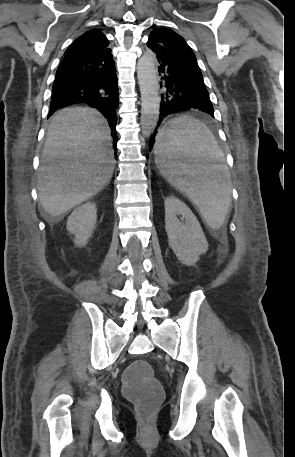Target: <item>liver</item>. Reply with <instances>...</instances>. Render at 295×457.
Segmentation results:
<instances>
[{"instance_id":"1","label":"liver","mask_w":295,"mask_h":457,"mask_svg":"<svg viewBox=\"0 0 295 457\" xmlns=\"http://www.w3.org/2000/svg\"><path fill=\"white\" fill-rule=\"evenodd\" d=\"M106 119L88 107H69L52 118L41 166L38 197L59 217L99 193L112 178L114 152Z\"/></svg>"}]
</instances>
